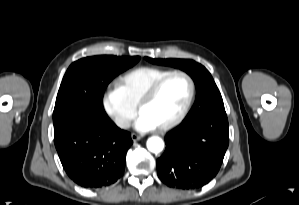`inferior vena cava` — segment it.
Returning a JSON list of instances; mask_svg holds the SVG:
<instances>
[{
  "mask_svg": "<svg viewBox=\"0 0 299 205\" xmlns=\"http://www.w3.org/2000/svg\"><path fill=\"white\" fill-rule=\"evenodd\" d=\"M115 123L120 128H129L130 127V121L128 119H126V118H123V117L116 118L115 119Z\"/></svg>",
  "mask_w": 299,
  "mask_h": 205,
  "instance_id": "602c4592",
  "label": "inferior vena cava"
}]
</instances>
